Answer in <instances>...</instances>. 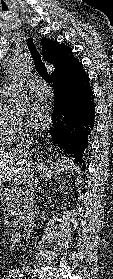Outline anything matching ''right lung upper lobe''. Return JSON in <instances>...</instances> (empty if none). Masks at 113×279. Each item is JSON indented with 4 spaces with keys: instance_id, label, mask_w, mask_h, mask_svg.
Listing matches in <instances>:
<instances>
[{
    "instance_id": "1",
    "label": "right lung upper lobe",
    "mask_w": 113,
    "mask_h": 279,
    "mask_svg": "<svg viewBox=\"0 0 113 279\" xmlns=\"http://www.w3.org/2000/svg\"><path fill=\"white\" fill-rule=\"evenodd\" d=\"M41 43L45 61L55 66L51 78L70 73L81 64L79 60L74 58L72 48L69 46L59 44L57 41H52L45 37L42 38Z\"/></svg>"
}]
</instances>
